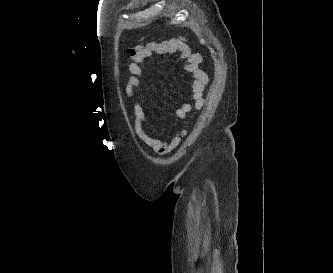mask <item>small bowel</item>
Here are the masks:
<instances>
[{
	"label": "small bowel",
	"instance_id": "obj_1",
	"mask_svg": "<svg viewBox=\"0 0 333 273\" xmlns=\"http://www.w3.org/2000/svg\"><path fill=\"white\" fill-rule=\"evenodd\" d=\"M157 54L178 56L185 62V70L193 76L191 93L194 107L197 109L201 108L204 103L203 94L208 83V76L199 67L202 61L201 55L192 53L191 48L182 38H172L160 42L149 41L130 49L131 62L128 66L130 75L125 86L126 96L131 98L135 91L141 89L145 60ZM190 108L189 104H183L176 110V115L179 118H184ZM133 113V126L136 135L146 145L151 147L156 154L164 155L175 146V139L168 143L163 142L148 129L145 111L141 102L136 101L134 103Z\"/></svg>",
	"mask_w": 333,
	"mask_h": 273
}]
</instances>
